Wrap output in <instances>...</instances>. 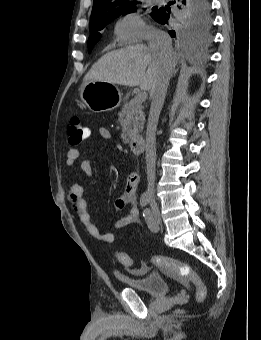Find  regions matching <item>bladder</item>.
I'll list each match as a JSON object with an SVG mask.
<instances>
[{
    "instance_id": "31cf9c89",
    "label": "bladder",
    "mask_w": 261,
    "mask_h": 340,
    "mask_svg": "<svg viewBox=\"0 0 261 340\" xmlns=\"http://www.w3.org/2000/svg\"><path fill=\"white\" fill-rule=\"evenodd\" d=\"M116 278L127 287L150 296H166L169 291L168 280L160 274H149L143 277H128L117 274Z\"/></svg>"
}]
</instances>
